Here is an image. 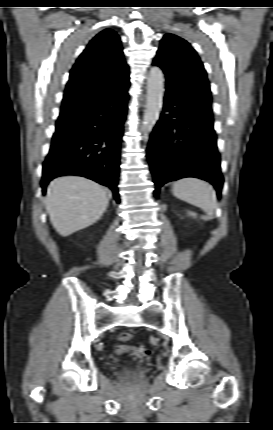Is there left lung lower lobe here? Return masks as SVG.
I'll return each mask as SVG.
<instances>
[{
  "label": "left lung lower lobe",
  "instance_id": "0a47b994",
  "mask_svg": "<svg viewBox=\"0 0 273 430\" xmlns=\"http://www.w3.org/2000/svg\"><path fill=\"white\" fill-rule=\"evenodd\" d=\"M163 111L147 149L156 185L154 195L169 181L196 177L213 184L220 197L223 177L213 119L180 101L169 85Z\"/></svg>",
  "mask_w": 273,
  "mask_h": 430
}]
</instances>
